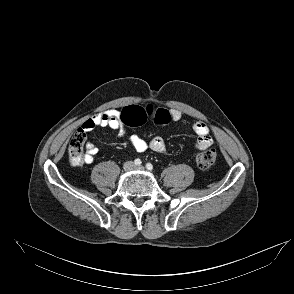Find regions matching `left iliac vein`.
<instances>
[{"label":"left iliac vein","mask_w":294,"mask_h":294,"mask_svg":"<svg viewBox=\"0 0 294 294\" xmlns=\"http://www.w3.org/2000/svg\"><path fill=\"white\" fill-rule=\"evenodd\" d=\"M134 169L144 170V167L143 166H135Z\"/></svg>","instance_id":"1"}]
</instances>
